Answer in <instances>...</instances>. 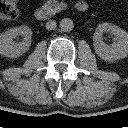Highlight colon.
Returning <instances> with one entry per match:
<instances>
[{"instance_id":"5ec220e1","label":"colon","mask_w":128,"mask_h":128,"mask_svg":"<svg viewBox=\"0 0 128 128\" xmlns=\"http://www.w3.org/2000/svg\"><path fill=\"white\" fill-rule=\"evenodd\" d=\"M19 0H0V20L12 22L18 16Z\"/></svg>"}]
</instances>
